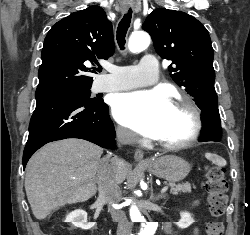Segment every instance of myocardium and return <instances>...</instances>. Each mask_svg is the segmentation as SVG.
<instances>
[{
    "label": "myocardium",
    "mask_w": 250,
    "mask_h": 235,
    "mask_svg": "<svg viewBox=\"0 0 250 235\" xmlns=\"http://www.w3.org/2000/svg\"><path fill=\"white\" fill-rule=\"evenodd\" d=\"M172 107L177 109H184L191 115L193 121L191 132L186 138L179 141L164 142L155 139L154 142L162 148L168 150L181 149L191 146L198 140L203 129V118L201 110L192 99L187 97L177 99L173 102Z\"/></svg>",
    "instance_id": "myocardium-1"
}]
</instances>
